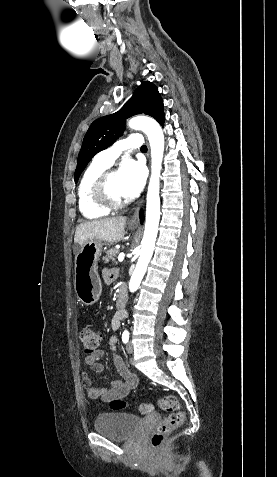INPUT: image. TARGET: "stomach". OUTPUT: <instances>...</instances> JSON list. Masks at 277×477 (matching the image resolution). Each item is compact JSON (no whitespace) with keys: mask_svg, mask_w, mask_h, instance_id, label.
Here are the masks:
<instances>
[{"mask_svg":"<svg viewBox=\"0 0 277 477\" xmlns=\"http://www.w3.org/2000/svg\"><path fill=\"white\" fill-rule=\"evenodd\" d=\"M102 248L100 240H90L79 247L75 256L74 289L81 304L93 305L100 298L102 285L97 273V263Z\"/></svg>","mask_w":277,"mask_h":477,"instance_id":"0dacf381","label":"stomach"}]
</instances>
